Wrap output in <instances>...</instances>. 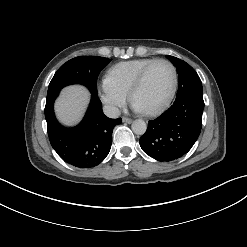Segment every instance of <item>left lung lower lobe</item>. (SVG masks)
<instances>
[{"instance_id": "0a47b994", "label": "left lung lower lobe", "mask_w": 247, "mask_h": 247, "mask_svg": "<svg viewBox=\"0 0 247 247\" xmlns=\"http://www.w3.org/2000/svg\"><path fill=\"white\" fill-rule=\"evenodd\" d=\"M203 109L202 91L176 96L168 110L149 121L146 132L139 140L142 150L160 162L186 154L200 135Z\"/></svg>"}]
</instances>
